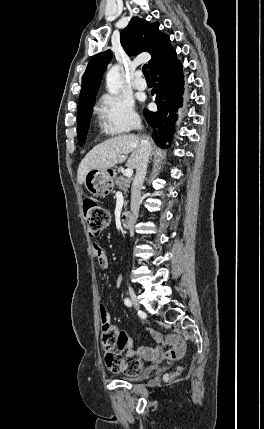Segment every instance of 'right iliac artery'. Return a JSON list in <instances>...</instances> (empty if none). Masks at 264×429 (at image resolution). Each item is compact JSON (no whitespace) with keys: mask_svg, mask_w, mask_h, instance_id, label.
I'll return each mask as SVG.
<instances>
[{"mask_svg":"<svg viewBox=\"0 0 264 429\" xmlns=\"http://www.w3.org/2000/svg\"><path fill=\"white\" fill-rule=\"evenodd\" d=\"M124 303H125V305H126V306H128V307H131V306H132V302H131V300H130V299H128V298H125Z\"/></svg>","mask_w":264,"mask_h":429,"instance_id":"right-iliac-artery-1","label":"right iliac artery"}]
</instances>
